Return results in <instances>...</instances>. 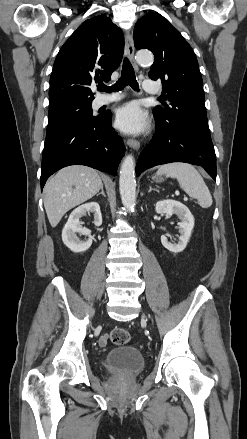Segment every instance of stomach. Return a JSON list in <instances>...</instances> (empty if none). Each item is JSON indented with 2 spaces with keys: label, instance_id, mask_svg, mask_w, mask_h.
I'll list each match as a JSON object with an SVG mask.
<instances>
[{
  "label": "stomach",
  "instance_id": "0dacf381",
  "mask_svg": "<svg viewBox=\"0 0 247 439\" xmlns=\"http://www.w3.org/2000/svg\"><path fill=\"white\" fill-rule=\"evenodd\" d=\"M153 180H155L156 182H161V181H163L164 179H163V177H161V176H154V177H153Z\"/></svg>",
  "mask_w": 247,
  "mask_h": 439
}]
</instances>
